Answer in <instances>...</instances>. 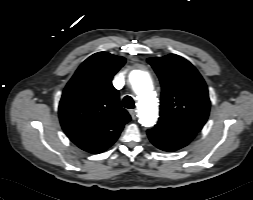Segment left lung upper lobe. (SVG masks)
I'll use <instances>...</instances> for the list:
<instances>
[{
    "label": "left lung upper lobe",
    "mask_w": 253,
    "mask_h": 200,
    "mask_svg": "<svg viewBox=\"0 0 253 200\" xmlns=\"http://www.w3.org/2000/svg\"><path fill=\"white\" fill-rule=\"evenodd\" d=\"M147 61L162 86L158 124L199 132L207 121L210 100L205 81L197 69L175 54Z\"/></svg>",
    "instance_id": "1"
}]
</instances>
